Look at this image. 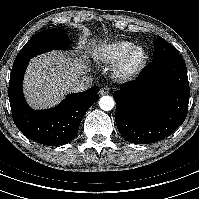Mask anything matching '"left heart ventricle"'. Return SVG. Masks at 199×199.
<instances>
[{"label":"left heart ventricle","mask_w":199,"mask_h":199,"mask_svg":"<svg viewBox=\"0 0 199 199\" xmlns=\"http://www.w3.org/2000/svg\"><path fill=\"white\" fill-rule=\"evenodd\" d=\"M139 58H140V53L139 52L135 53L131 58V65H134Z\"/></svg>","instance_id":"obj_1"}]
</instances>
